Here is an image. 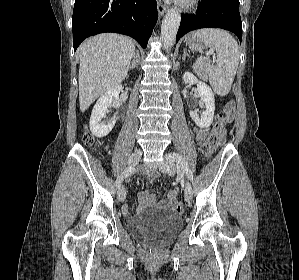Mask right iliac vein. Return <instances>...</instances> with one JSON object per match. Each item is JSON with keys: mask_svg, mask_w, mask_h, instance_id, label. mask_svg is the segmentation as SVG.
I'll list each match as a JSON object with an SVG mask.
<instances>
[{"mask_svg": "<svg viewBox=\"0 0 299 280\" xmlns=\"http://www.w3.org/2000/svg\"><path fill=\"white\" fill-rule=\"evenodd\" d=\"M141 156H142V152H141V150H135L132 154H131V156H130V158H129V166L130 167H133V166H135L136 164H138V162L140 161V159H141ZM117 198H118V200L120 201V202H123L124 200H125V198H126V192H125V189L122 187V188H120L119 190H118V192H117Z\"/></svg>", "mask_w": 299, "mask_h": 280, "instance_id": "63e3f726", "label": "right iliac vein"}]
</instances>
